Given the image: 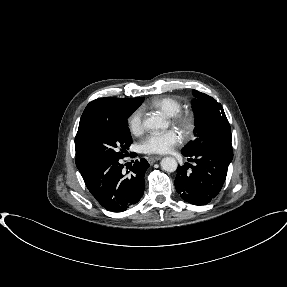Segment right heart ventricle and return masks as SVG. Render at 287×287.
I'll list each match as a JSON object with an SVG mask.
<instances>
[{"label": "right heart ventricle", "mask_w": 287, "mask_h": 287, "mask_svg": "<svg viewBox=\"0 0 287 287\" xmlns=\"http://www.w3.org/2000/svg\"><path fill=\"white\" fill-rule=\"evenodd\" d=\"M149 106L160 110L167 116H174L180 112L182 105L179 100L174 97L164 96L153 99Z\"/></svg>", "instance_id": "e07e8e85"}]
</instances>
